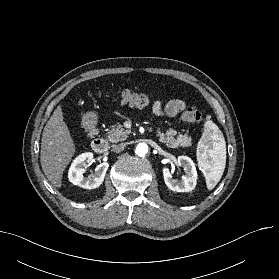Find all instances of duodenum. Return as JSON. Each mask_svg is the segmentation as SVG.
I'll return each mask as SVG.
<instances>
[{"mask_svg":"<svg viewBox=\"0 0 279 279\" xmlns=\"http://www.w3.org/2000/svg\"><path fill=\"white\" fill-rule=\"evenodd\" d=\"M87 130L88 132L94 136L92 142H91V147L96 153H104L108 149V142L100 137L97 136V129L93 124H88L87 125Z\"/></svg>","mask_w":279,"mask_h":279,"instance_id":"1","label":"duodenum"}]
</instances>
